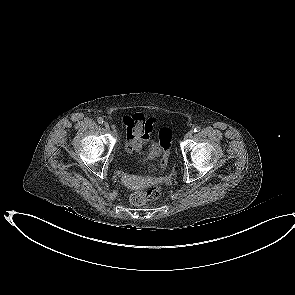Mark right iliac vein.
<instances>
[{"label":"right iliac vein","mask_w":295,"mask_h":295,"mask_svg":"<svg viewBox=\"0 0 295 295\" xmlns=\"http://www.w3.org/2000/svg\"><path fill=\"white\" fill-rule=\"evenodd\" d=\"M104 127H105L106 129H109V128H110L108 122H105V123H104Z\"/></svg>","instance_id":"63e3f726"}]
</instances>
